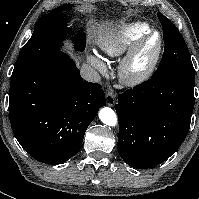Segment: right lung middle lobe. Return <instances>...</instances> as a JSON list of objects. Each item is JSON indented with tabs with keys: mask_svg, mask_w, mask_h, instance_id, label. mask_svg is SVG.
Here are the masks:
<instances>
[{
	"mask_svg": "<svg viewBox=\"0 0 199 199\" xmlns=\"http://www.w3.org/2000/svg\"><path fill=\"white\" fill-rule=\"evenodd\" d=\"M71 8V4H65L52 9L37 21L30 40L22 48L12 72L11 79L27 71L37 62L54 52H58L61 35L66 32V19L60 14ZM86 45L85 35H81L75 41L79 51H83Z\"/></svg>",
	"mask_w": 199,
	"mask_h": 199,
	"instance_id": "right-lung-middle-lobe-1",
	"label": "right lung middle lobe"
}]
</instances>
